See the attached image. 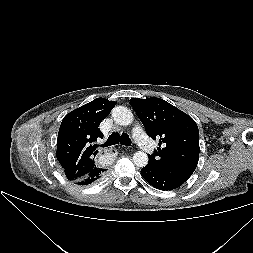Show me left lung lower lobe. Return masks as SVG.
<instances>
[{"label": "left lung lower lobe", "instance_id": "0a47b994", "mask_svg": "<svg viewBox=\"0 0 253 253\" xmlns=\"http://www.w3.org/2000/svg\"><path fill=\"white\" fill-rule=\"evenodd\" d=\"M141 175L150 185L159 190H172L183 184L150 164L141 169Z\"/></svg>", "mask_w": 253, "mask_h": 253}]
</instances>
